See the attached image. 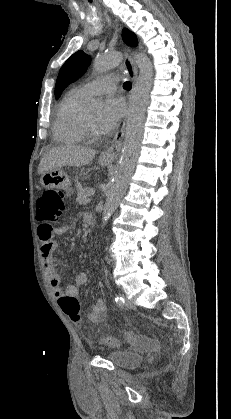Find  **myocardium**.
Instances as JSON below:
<instances>
[{
    "label": "myocardium",
    "mask_w": 231,
    "mask_h": 419,
    "mask_svg": "<svg viewBox=\"0 0 231 419\" xmlns=\"http://www.w3.org/2000/svg\"><path fill=\"white\" fill-rule=\"evenodd\" d=\"M79 126L85 139L95 141L101 138V135L92 129L88 121L86 112L82 113L79 120Z\"/></svg>",
    "instance_id": "1"
}]
</instances>
